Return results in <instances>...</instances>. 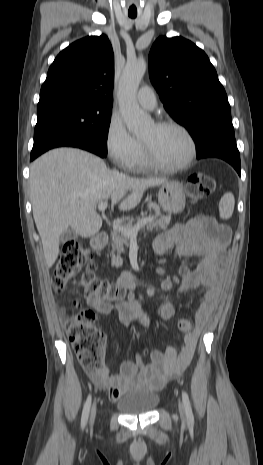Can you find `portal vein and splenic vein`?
Instances as JSON below:
<instances>
[{"mask_svg":"<svg viewBox=\"0 0 263 465\" xmlns=\"http://www.w3.org/2000/svg\"><path fill=\"white\" fill-rule=\"evenodd\" d=\"M107 207H108V202L107 201H104V202H101V203L98 204V210L99 211H105L107 209ZM151 220H152L151 218H148V219L142 221L141 223H138L133 229H126V228H123V226H121L120 224H114L113 225V230L114 231L121 230V231L124 232L125 235H127L131 239H135L140 227L146 225Z\"/></svg>","mask_w":263,"mask_h":465,"instance_id":"1","label":"portal vein and splenic vein"}]
</instances>
